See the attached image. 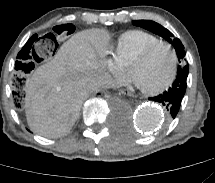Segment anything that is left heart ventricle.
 <instances>
[{
  "mask_svg": "<svg viewBox=\"0 0 215 183\" xmlns=\"http://www.w3.org/2000/svg\"><path fill=\"white\" fill-rule=\"evenodd\" d=\"M173 71V57L166 46L156 48L143 62L130 66L141 88L154 89L163 85Z\"/></svg>",
  "mask_w": 215,
  "mask_h": 183,
  "instance_id": "1",
  "label": "left heart ventricle"
}]
</instances>
